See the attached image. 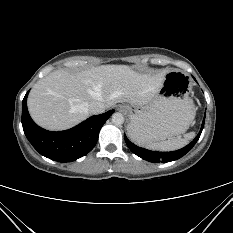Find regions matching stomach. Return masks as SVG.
Returning a JSON list of instances; mask_svg holds the SVG:
<instances>
[{
	"label": "stomach",
	"instance_id": "1",
	"mask_svg": "<svg viewBox=\"0 0 233 233\" xmlns=\"http://www.w3.org/2000/svg\"><path fill=\"white\" fill-rule=\"evenodd\" d=\"M190 76L180 70H170L153 99L144 106L123 105L130 123L128 133L140 144L161 142L183 134L193 122L195 107L189 94Z\"/></svg>",
	"mask_w": 233,
	"mask_h": 233
}]
</instances>
